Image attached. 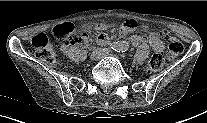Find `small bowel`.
I'll use <instances>...</instances> for the list:
<instances>
[{
    "mask_svg": "<svg viewBox=\"0 0 207 123\" xmlns=\"http://www.w3.org/2000/svg\"><path fill=\"white\" fill-rule=\"evenodd\" d=\"M138 27V22L136 20H128L121 27V34L125 35L127 33L133 32ZM110 28L109 24L97 23L93 26L95 31H105ZM141 29L145 32L144 36L134 35L131 37V42L134 46L140 44H149L155 53H161L164 50V42L160 36L153 31H150L146 25H142ZM87 35L83 33L80 38H77L78 42H86ZM108 41V36L105 33H100L98 36V42L105 44ZM73 43V44H75ZM72 44L62 45L61 48L63 51H66L68 47Z\"/></svg>",
    "mask_w": 207,
    "mask_h": 123,
    "instance_id": "obj_1",
    "label": "small bowel"
}]
</instances>
